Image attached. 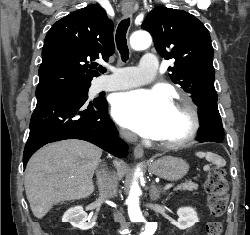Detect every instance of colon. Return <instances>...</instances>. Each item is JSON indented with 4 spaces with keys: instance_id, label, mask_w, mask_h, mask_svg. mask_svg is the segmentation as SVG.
Returning <instances> with one entry per match:
<instances>
[{
    "instance_id": "obj_1",
    "label": "colon",
    "mask_w": 250,
    "mask_h": 235,
    "mask_svg": "<svg viewBox=\"0 0 250 235\" xmlns=\"http://www.w3.org/2000/svg\"><path fill=\"white\" fill-rule=\"evenodd\" d=\"M226 171L220 167H213L207 174L204 188L207 194V203L214 218L221 217L228 204V182ZM207 235H222L223 225L219 220L209 221L206 225Z\"/></svg>"
}]
</instances>
